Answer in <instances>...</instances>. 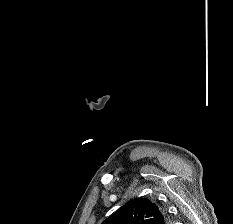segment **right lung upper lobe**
I'll list each match as a JSON object with an SVG mask.
<instances>
[{"label": "right lung upper lobe", "instance_id": "cb5924a9", "mask_svg": "<svg viewBox=\"0 0 233 224\" xmlns=\"http://www.w3.org/2000/svg\"><path fill=\"white\" fill-rule=\"evenodd\" d=\"M167 216L155 203L146 198L128 202L102 224H166Z\"/></svg>", "mask_w": 233, "mask_h": 224}]
</instances>
